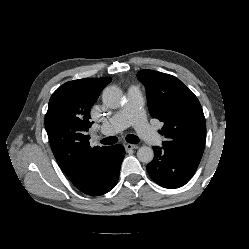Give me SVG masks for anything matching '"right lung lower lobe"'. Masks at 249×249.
Listing matches in <instances>:
<instances>
[{"mask_svg":"<svg viewBox=\"0 0 249 249\" xmlns=\"http://www.w3.org/2000/svg\"><path fill=\"white\" fill-rule=\"evenodd\" d=\"M124 156L125 149L122 145L110 146L107 158L87 174L85 183L78 189L91 196L109 192L117 184Z\"/></svg>","mask_w":249,"mask_h":249,"instance_id":"1","label":"right lung lower lobe"}]
</instances>
